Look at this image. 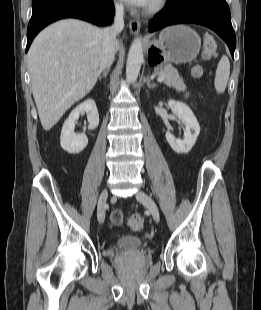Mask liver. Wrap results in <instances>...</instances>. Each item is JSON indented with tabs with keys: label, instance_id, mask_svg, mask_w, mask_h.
Listing matches in <instances>:
<instances>
[{
	"label": "liver",
	"instance_id": "1",
	"mask_svg": "<svg viewBox=\"0 0 261 310\" xmlns=\"http://www.w3.org/2000/svg\"><path fill=\"white\" fill-rule=\"evenodd\" d=\"M104 30L64 19L45 28L28 51L32 93L44 130H50L96 84ZM120 44L116 41L115 49Z\"/></svg>",
	"mask_w": 261,
	"mask_h": 310
}]
</instances>
